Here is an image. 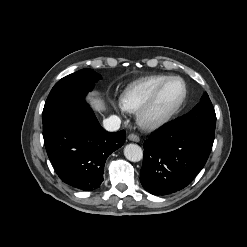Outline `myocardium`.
I'll use <instances>...</instances> for the list:
<instances>
[{"label": "myocardium", "mask_w": 247, "mask_h": 247, "mask_svg": "<svg viewBox=\"0 0 247 247\" xmlns=\"http://www.w3.org/2000/svg\"><path fill=\"white\" fill-rule=\"evenodd\" d=\"M178 80L183 85V94L179 101L168 111L154 115L152 109L158 99L159 94L163 88L171 81ZM188 95V87L184 79L179 76H169L161 82L152 92L145 103L139 108L137 112V122L139 126L145 130H155L167 124L181 109Z\"/></svg>", "instance_id": "1"}]
</instances>
